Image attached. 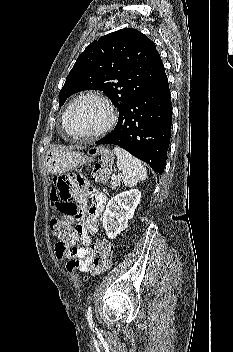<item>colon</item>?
<instances>
[{
    "label": "colon",
    "instance_id": "1",
    "mask_svg": "<svg viewBox=\"0 0 233 352\" xmlns=\"http://www.w3.org/2000/svg\"><path fill=\"white\" fill-rule=\"evenodd\" d=\"M90 153L99 158V162L95 165L92 173L94 180L98 182L106 181L112 167L113 158L111 153L103 149H92ZM61 210L68 216H72L76 211V206L74 204H67L64 205ZM50 230L53 236L57 238L58 242L66 246L68 237L72 231V220L70 218L52 219L50 222ZM92 249L94 257L85 270L89 276L98 275L109 270L112 261V245L108 240H96Z\"/></svg>",
    "mask_w": 233,
    "mask_h": 352
}]
</instances>
